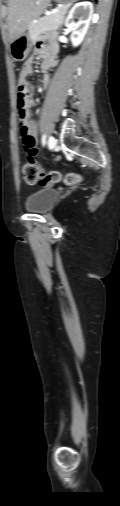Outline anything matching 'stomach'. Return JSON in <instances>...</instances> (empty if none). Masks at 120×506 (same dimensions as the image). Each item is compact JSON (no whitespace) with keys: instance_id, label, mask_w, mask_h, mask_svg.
Here are the masks:
<instances>
[{"instance_id":"obj_1","label":"stomach","mask_w":120,"mask_h":506,"mask_svg":"<svg viewBox=\"0 0 120 506\" xmlns=\"http://www.w3.org/2000/svg\"><path fill=\"white\" fill-rule=\"evenodd\" d=\"M58 3H61L65 6H70L76 0H55ZM33 40L30 35L24 32L18 38L11 42V55L15 61H23L25 60L32 48Z\"/></svg>"}]
</instances>
